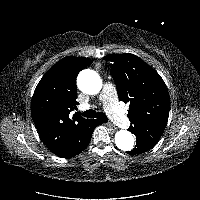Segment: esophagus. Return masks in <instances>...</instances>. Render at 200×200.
I'll list each match as a JSON object with an SVG mask.
<instances>
[{
	"mask_svg": "<svg viewBox=\"0 0 200 200\" xmlns=\"http://www.w3.org/2000/svg\"><path fill=\"white\" fill-rule=\"evenodd\" d=\"M108 125V127L111 129V130H113V131H115L117 128L113 125V124H111V123H108L107 124Z\"/></svg>",
	"mask_w": 200,
	"mask_h": 200,
	"instance_id": "esophagus-1",
	"label": "esophagus"
}]
</instances>
